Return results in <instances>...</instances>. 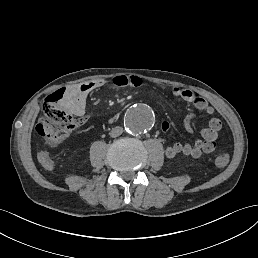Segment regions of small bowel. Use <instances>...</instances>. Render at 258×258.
<instances>
[{
    "label": "small bowel",
    "mask_w": 258,
    "mask_h": 258,
    "mask_svg": "<svg viewBox=\"0 0 258 258\" xmlns=\"http://www.w3.org/2000/svg\"><path fill=\"white\" fill-rule=\"evenodd\" d=\"M112 83L116 87H139L142 85V79L137 76L119 75L113 79ZM104 85L105 81L103 79H96L70 86L65 90V94L60 105L65 110L76 116H83L85 114V107L89 94ZM160 87L165 89L162 85H160ZM170 91L177 100L192 103L198 111L205 112L210 117V120L207 127H205L201 132L202 139L196 140L193 143L185 141L167 145L164 149L165 156L168 158H174L178 155H184L191 158H199L204 153L208 154L213 152L222 127L221 121L214 116V109L209 106L208 102L204 98L196 96L189 89L173 87ZM194 119L195 115L189 114L186 116L184 121L185 128L190 133L193 132ZM161 128L163 131H167L169 128L168 122H163ZM37 158L44 169L48 171L53 170L55 164L49 151H39Z\"/></svg>",
    "instance_id": "small-bowel-1"
}]
</instances>
